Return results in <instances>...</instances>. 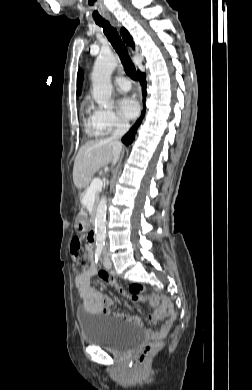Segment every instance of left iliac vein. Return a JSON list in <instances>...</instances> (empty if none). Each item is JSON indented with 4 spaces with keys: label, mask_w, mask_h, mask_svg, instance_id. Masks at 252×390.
<instances>
[{
    "label": "left iliac vein",
    "mask_w": 252,
    "mask_h": 390,
    "mask_svg": "<svg viewBox=\"0 0 252 390\" xmlns=\"http://www.w3.org/2000/svg\"><path fill=\"white\" fill-rule=\"evenodd\" d=\"M103 265L106 269H111L112 268V262L109 258L108 255H104V258H103Z\"/></svg>",
    "instance_id": "4c4485c4"
}]
</instances>
